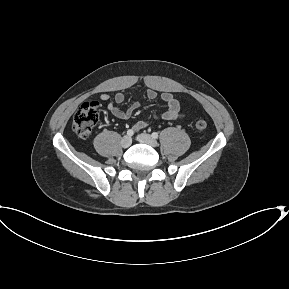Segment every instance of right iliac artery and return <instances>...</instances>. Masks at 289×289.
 Wrapping results in <instances>:
<instances>
[{
  "label": "right iliac artery",
  "mask_w": 289,
  "mask_h": 289,
  "mask_svg": "<svg viewBox=\"0 0 289 289\" xmlns=\"http://www.w3.org/2000/svg\"><path fill=\"white\" fill-rule=\"evenodd\" d=\"M133 134H134V131H133L132 129H129V130L127 131V135H128L129 137L133 136Z\"/></svg>",
  "instance_id": "right-iliac-artery-1"
}]
</instances>
